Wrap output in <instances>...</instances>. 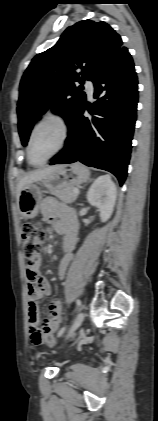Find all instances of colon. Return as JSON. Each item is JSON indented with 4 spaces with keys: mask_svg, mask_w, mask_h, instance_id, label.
<instances>
[{
    "mask_svg": "<svg viewBox=\"0 0 158 421\" xmlns=\"http://www.w3.org/2000/svg\"><path fill=\"white\" fill-rule=\"evenodd\" d=\"M23 254L29 263H33L41 253L42 245L46 239V233L39 224L25 223L22 227ZM36 343L41 341L55 345L57 341L53 335L42 336L34 333Z\"/></svg>",
    "mask_w": 158,
    "mask_h": 421,
    "instance_id": "5ec220e1",
    "label": "colon"
}]
</instances>
